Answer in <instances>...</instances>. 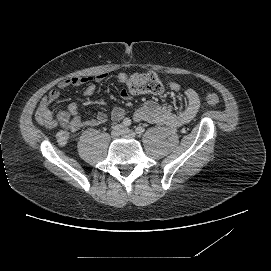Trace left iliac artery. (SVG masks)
Instances as JSON below:
<instances>
[{
  "label": "left iliac artery",
  "instance_id": "44dca946",
  "mask_svg": "<svg viewBox=\"0 0 271 271\" xmlns=\"http://www.w3.org/2000/svg\"><path fill=\"white\" fill-rule=\"evenodd\" d=\"M135 131H136V133L137 134H142L144 131H145V129L142 127V126H138L136 129H135Z\"/></svg>",
  "mask_w": 271,
  "mask_h": 271
}]
</instances>
